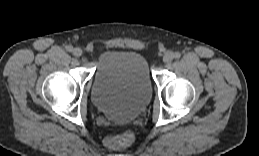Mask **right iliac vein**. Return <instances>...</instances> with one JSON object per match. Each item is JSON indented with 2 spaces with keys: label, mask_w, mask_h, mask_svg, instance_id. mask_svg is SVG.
I'll return each mask as SVG.
<instances>
[{
  "label": "right iliac vein",
  "mask_w": 259,
  "mask_h": 156,
  "mask_svg": "<svg viewBox=\"0 0 259 156\" xmlns=\"http://www.w3.org/2000/svg\"><path fill=\"white\" fill-rule=\"evenodd\" d=\"M73 54L76 56V57H80L82 55V50L80 48H75L73 50Z\"/></svg>",
  "instance_id": "obj_1"
}]
</instances>
